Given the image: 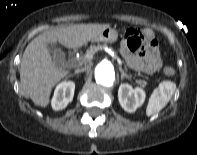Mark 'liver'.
<instances>
[{"instance_id": "6515ba94", "label": "liver", "mask_w": 197, "mask_h": 155, "mask_svg": "<svg viewBox=\"0 0 197 155\" xmlns=\"http://www.w3.org/2000/svg\"><path fill=\"white\" fill-rule=\"evenodd\" d=\"M109 24H78L58 27L44 32L26 47L20 65V82L23 92L34 104L45 107L49 104L52 88L69 71L52 62L47 44L59 42L67 48H79L91 41Z\"/></svg>"}]
</instances>
